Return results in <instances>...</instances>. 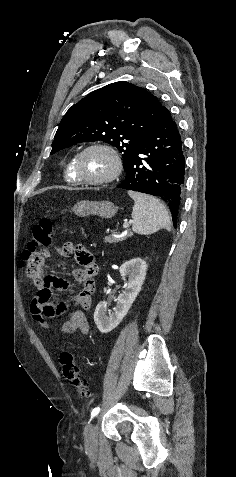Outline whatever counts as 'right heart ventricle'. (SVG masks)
Segmentation results:
<instances>
[{
    "label": "right heart ventricle",
    "mask_w": 236,
    "mask_h": 477,
    "mask_svg": "<svg viewBox=\"0 0 236 477\" xmlns=\"http://www.w3.org/2000/svg\"><path fill=\"white\" fill-rule=\"evenodd\" d=\"M75 157L73 156L68 163L66 164L65 170H64V179L67 183L76 185L79 184L77 176L74 173L73 165L75 161Z\"/></svg>",
    "instance_id": "right-heart-ventricle-1"
}]
</instances>
